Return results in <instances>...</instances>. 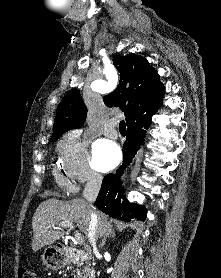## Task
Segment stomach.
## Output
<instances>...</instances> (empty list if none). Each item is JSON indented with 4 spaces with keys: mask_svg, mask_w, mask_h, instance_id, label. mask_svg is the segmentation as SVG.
Here are the masks:
<instances>
[{
    "mask_svg": "<svg viewBox=\"0 0 221 278\" xmlns=\"http://www.w3.org/2000/svg\"><path fill=\"white\" fill-rule=\"evenodd\" d=\"M41 257L43 263L52 270H59L66 264L63 253L56 246H48Z\"/></svg>",
    "mask_w": 221,
    "mask_h": 278,
    "instance_id": "1",
    "label": "stomach"
}]
</instances>
